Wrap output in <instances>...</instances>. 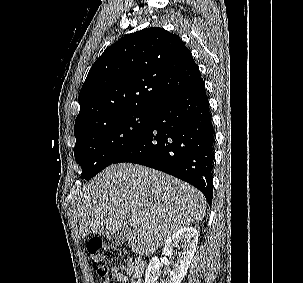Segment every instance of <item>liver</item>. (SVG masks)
<instances>
[{"mask_svg": "<svg viewBox=\"0 0 303 283\" xmlns=\"http://www.w3.org/2000/svg\"><path fill=\"white\" fill-rule=\"evenodd\" d=\"M73 194L79 237L111 236L127 219L123 241L138 254L153 253L176 231L201 220L206 209L205 197L193 186L131 163L107 167Z\"/></svg>", "mask_w": 303, "mask_h": 283, "instance_id": "liver-1", "label": "liver"}]
</instances>
